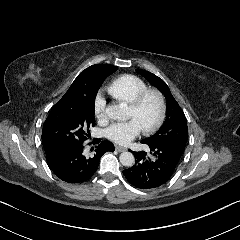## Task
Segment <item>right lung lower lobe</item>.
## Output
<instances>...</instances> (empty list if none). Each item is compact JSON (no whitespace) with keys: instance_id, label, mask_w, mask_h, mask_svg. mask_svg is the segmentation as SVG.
Segmentation results:
<instances>
[{"instance_id":"98d812e1","label":"right lung lower lobe","mask_w":240,"mask_h":240,"mask_svg":"<svg viewBox=\"0 0 240 240\" xmlns=\"http://www.w3.org/2000/svg\"><path fill=\"white\" fill-rule=\"evenodd\" d=\"M99 142L100 140L97 143ZM95 148L93 154L88 155L83 143L44 146L49 167L59 179L67 183H81L90 179L97 170L102 155L114 151V145L106 140Z\"/></svg>"}]
</instances>
